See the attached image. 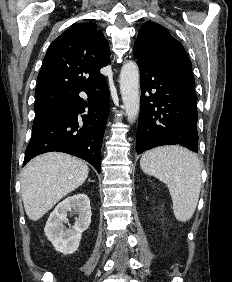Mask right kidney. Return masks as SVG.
Wrapping results in <instances>:
<instances>
[{
	"mask_svg": "<svg viewBox=\"0 0 232 282\" xmlns=\"http://www.w3.org/2000/svg\"><path fill=\"white\" fill-rule=\"evenodd\" d=\"M78 214V219L72 228L67 229V212ZM90 200L84 193L76 194L60 202L50 214L44 229L48 240L54 248L63 254L74 253L80 244L82 233L91 223Z\"/></svg>",
	"mask_w": 232,
	"mask_h": 282,
	"instance_id": "1",
	"label": "right kidney"
}]
</instances>
